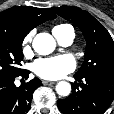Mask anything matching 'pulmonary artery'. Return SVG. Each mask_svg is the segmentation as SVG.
Returning <instances> with one entry per match:
<instances>
[{"label": "pulmonary artery", "mask_w": 114, "mask_h": 114, "mask_svg": "<svg viewBox=\"0 0 114 114\" xmlns=\"http://www.w3.org/2000/svg\"><path fill=\"white\" fill-rule=\"evenodd\" d=\"M58 42L63 46H68L73 42L75 33L72 27H69L61 35H55Z\"/></svg>", "instance_id": "obj_1"}]
</instances>
